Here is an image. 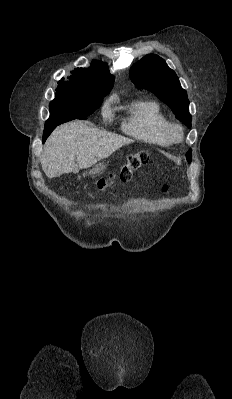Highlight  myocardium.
Returning a JSON list of instances; mask_svg holds the SVG:
<instances>
[{
  "label": "myocardium",
  "instance_id": "1",
  "mask_svg": "<svg viewBox=\"0 0 232 399\" xmlns=\"http://www.w3.org/2000/svg\"><path fill=\"white\" fill-rule=\"evenodd\" d=\"M167 131L172 140H180L184 136V130L178 122L168 121Z\"/></svg>",
  "mask_w": 232,
  "mask_h": 399
}]
</instances>
